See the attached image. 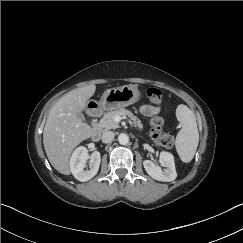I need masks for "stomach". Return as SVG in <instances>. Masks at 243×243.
Listing matches in <instances>:
<instances>
[{
	"label": "stomach",
	"mask_w": 243,
	"mask_h": 243,
	"mask_svg": "<svg viewBox=\"0 0 243 243\" xmlns=\"http://www.w3.org/2000/svg\"><path fill=\"white\" fill-rule=\"evenodd\" d=\"M141 93L134 85H124L106 90L100 100V105L106 110L127 107L139 100Z\"/></svg>",
	"instance_id": "1"
}]
</instances>
